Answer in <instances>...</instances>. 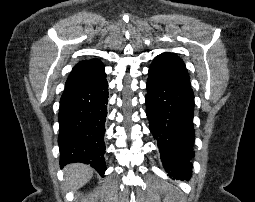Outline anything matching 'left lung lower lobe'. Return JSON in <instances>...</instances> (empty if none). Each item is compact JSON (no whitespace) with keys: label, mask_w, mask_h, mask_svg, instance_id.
Masks as SVG:
<instances>
[{"label":"left lung lower lobe","mask_w":255,"mask_h":202,"mask_svg":"<svg viewBox=\"0 0 255 202\" xmlns=\"http://www.w3.org/2000/svg\"><path fill=\"white\" fill-rule=\"evenodd\" d=\"M146 88L149 128L158 141L165 170L174 178L188 180L194 156L193 91L150 73Z\"/></svg>","instance_id":"0a47b994"}]
</instances>
